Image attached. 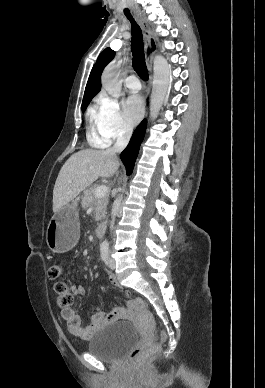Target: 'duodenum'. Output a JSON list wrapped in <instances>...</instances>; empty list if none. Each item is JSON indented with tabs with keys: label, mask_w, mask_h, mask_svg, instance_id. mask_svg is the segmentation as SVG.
Listing matches in <instances>:
<instances>
[{
	"label": "duodenum",
	"mask_w": 265,
	"mask_h": 388,
	"mask_svg": "<svg viewBox=\"0 0 265 388\" xmlns=\"http://www.w3.org/2000/svg\"><path fill=\"white\" fill-rule=\"evenodd\" d=\"M106 228H107L106 222L99 223L95 230L96 236L103 237V235L105 234Z\"/></svg>",
	"instance_id": "1"
}]
</instances>
